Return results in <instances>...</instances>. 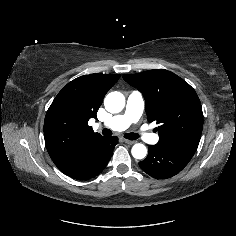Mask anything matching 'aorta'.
Segmentation results:
<instances>
[{
    "label": "aorta",
    "mask_w": 236,
    "mask_h": 236,
    "mask_svg": "<svg viewBox=\"0 0 236 236\" xmlns=\"http://www.w3.org/2000/svg\"><path fill=\"white\" fill-rule=\"evenodd\" d=\"M105 109L111 113H119L125 106V97L122 93L114 91L109 93L104 99ZM135 159H144L147 155V148L144 144L137 143L131 149Z\"/></svg>",
    "instance_id": "762f6f07"
}]
</instances>
